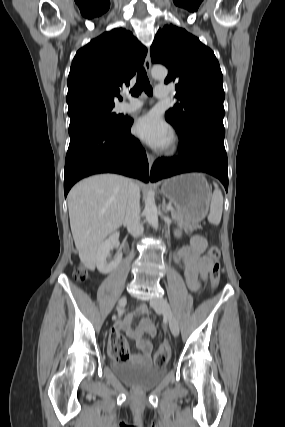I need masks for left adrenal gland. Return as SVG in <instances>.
<instances>
[{"instance_id":"obj_1","label":"left adrenal gland","mask_w":285,"mask_h":427,"mask_svg":"<svg viewBox=\"0 0 285 427\" xmlns=\"http://www.w3.org/2000/svg\"><path fill=\"white\" fill-rule=\"evenodd\" d=\"M162 210L166 212V209H165V199L164 198H163V201H162Z\"/></svg>"}]
</instances>
